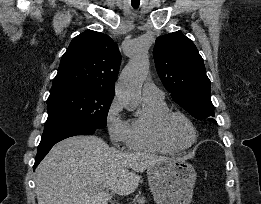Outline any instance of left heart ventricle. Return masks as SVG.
<instances>
[{
  "mask_svg": "<svg viewBox=\"0 0 261 204\" xmlns=\"http://www.w3.org/2000/svg\"><path fill=\"white\" fill-rule=\"evenodd\" d=\"M168 132L171 138L181 146L189 144L193 138L190 127L179 118H174L169 122Z\"/></svg>",
  "mask_w": 261,
  "mask_h": 204,
  "instance_id": "b2bd125f",
  "label": "left heart ventricle"
}]
</instances>
